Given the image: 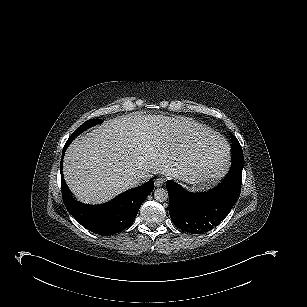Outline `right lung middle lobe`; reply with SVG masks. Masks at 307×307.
<instances>
[{
  "mask_svg": "<svg viewBox=\"0 0 307 307\" xmlns=\"http://www.w3.org/2000/svg\"><path fill=\"white\" fill-rule=\"evenodd\" d=\"M102 123L101 119H90L86 122H84L77 130L73 132V134L70 136V138L67 140L68 143H70L78 134L81 132L87 130L88 128Z\"/></svg>",
  "mask_w": 307,
  "mask_h": 307,
  "instance_id": "right-lung-middle-lobe-1",
  "label": "right lung middle lobe"
}]
</instances>
